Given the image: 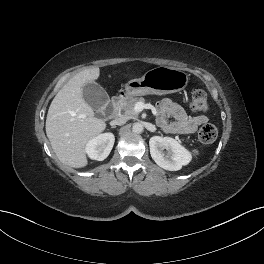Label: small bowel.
Wrapping results in <instances>:
<instances>
[{"label": "small bowel", "instance_id": "obj_1", "mask_svg": "<svg viewBox=\"0 0 264 264\" xmlns=\"http://www.w3.org/2000/svg\"><path fill=\"white\" fill-rule=\"evenodd\" d=\"M158 124L167 133L191 135L199 126L207 123L205 115L190 116L181 105L171 99H163L156 106Z\"/></svg>", "mask_w": 264, "mask_h": 264}]
</instances>
